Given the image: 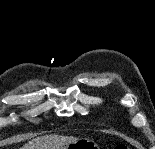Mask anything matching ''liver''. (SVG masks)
<instances>
[{
  "label": "liver",
  "instance_id": "1",
  "mask_svg": "<svg viewBox=\"0 0 155 149\" xmlns=\"http://www.w3.org/2000/svg\"><path fill=\"white\" fill-rule=\"evenodd\" d=\"M77 140L78 138L71 136L45 135L32 139L21 149H61L64 145Z\"/></svg>",
  "mask_w": 155,
  "mask_h": 149
}]
</instances>
